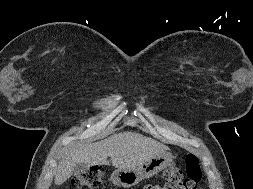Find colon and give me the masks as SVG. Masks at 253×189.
<instances>
[{
  "label": "colon",
  "instance_id": "colon-1",
  "mask_svg": "<svg viewBox=\"0 0 253 189\" xmlns=\"http://www.w3.org/2000/svg\"><path fill=\"white\" fill-rule=\"evenodd\" d=\"M166 189H197L202 180V170L199 159L194 154H188L184 171L171 166L163 173ZM75 189H105V172L101 166L92 167L88 172L73 180Z\"/></svg>",
  "mask_w": 253,
  "mask_h": 189
}]
</instances>
